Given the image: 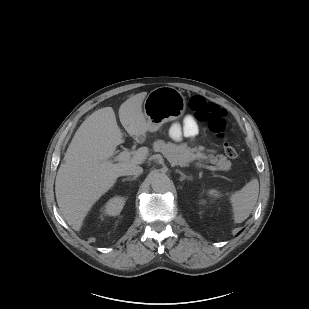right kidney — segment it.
Masks as SVG:
<instances>
[{
  "mask_svg": "<svg viewBox=\"0 0 309 309\" xmlns=\"http://www.w3.org/2000/svg\"><path fill=\"white\" fill-rule=\"evenodd\" d=\"M125 204V199L122 197H114L110 199L103 208V213L109 216L120 214Z\"/></svg>",
  "mask_w": 309,
  "mask_h": 309,
  "instance_id": "right-kidney-1",
  "label": "right kidney"
}]
</instances>
